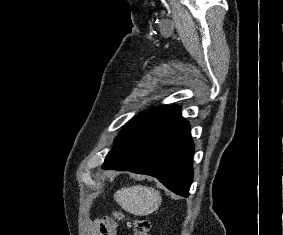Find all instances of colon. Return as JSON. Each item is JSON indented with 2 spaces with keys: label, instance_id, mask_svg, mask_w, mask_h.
<instances>
[{
  "label": "colon",
  "instance_id": "5ec220e1",
  "mask_svg": "<svg viewBox=\"0 0 283 235\" xmlns=\"http://www.w3.org/2000/svg\"><path fill=\"white\" fill-rule=\"evenodd\" d=\"M116 220H124L125 216L120 212L114 213ZM130 224L133 228V235H150L151 224L148 219L136 218L130 220Z\"/></svg>",
  "mask_w": 283,
  "mask_h": 235
}]
</instances>
